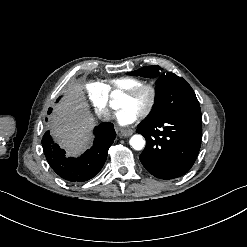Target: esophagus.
Wrapping results in <instances>:
<instances>
[{
	"label": "esophagus",
	"instance_id": "34e87169",
	"mask_svg": "<svg viewBox=\"0 0 247 247\" xmlns=\"http://www.w3.org/2000/svg\"><path fill=\"white\" fill-rule=\"evenodd\" d=\"M120 133L123 137H129L134 133V131L132 129L122 128L120 129Z\"/></svg>",
	"mask_w": 247,
	"mask_h": 247
}]
</instances>
